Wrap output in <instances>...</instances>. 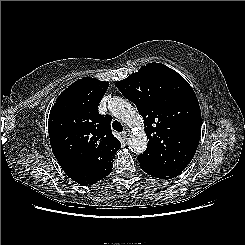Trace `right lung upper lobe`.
Listing matches in <instances>:
<instances>
[{"label":"right lung upper lobe","instance_id":"1","mask_svg":"<svg viewBox=\"0 0 245 245\" xmlns=\"http://www.w3.org/2000/svg\"><path fill=\"white\" fill-rule=\"evenodd\" d=\"M109 82L84 77L66 88L51 108L48 133L60 166L76 171L88 186L103 177L100 167L121 147L111 132L110 115L98 112Z\"/></svg>","mask_w":245,"mask_h":245}]
</instances>
